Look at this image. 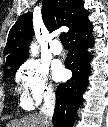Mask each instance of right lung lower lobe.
I'll return each instance as SVG.
<instances>
[{
  "instance_id": "1",
  "label": "right lung lower lobe",
  "mask_w": 108,
  "mask_h": 127,
  "mask_svg": "<svg viewBox=\"0 0 108 127\" xmlns=\"http://www.w3.org/2000/svg\"><path fill=\"white\" fill-rule=\"evenodd\" d=\"M91 32L92 24L87 22L68 37L70 51L65 64L72 71L73 76L68 82L60 84L57 88L53 115L55 127H71L77 109L82 103V96L88 84L87 77L90 73L91 54L87 48L93 46Z\"/></svg>"
}]
</instances>
